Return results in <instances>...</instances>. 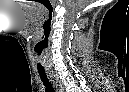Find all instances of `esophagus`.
<instances>
[{
	"mask_svg": "<svg viewBox=\"0 0 129 92\" xmlns=\"http://www.w3.org/2000/svg\"><path fill=\"white\" fill-rule=\"evenodd\" d=\"M51 78H52V81H53V83H54V85H55L56 91H57V92H63V87H62V85L59 83V81H58L57 79H55L54 77H52V76H51Z\"/></svg>",
	"mask_w": 129,
	"mask_h": 92,
	"instance_id": "esophagus-1",
	"label": "esophagus"
}]
</instances>
